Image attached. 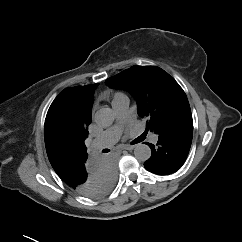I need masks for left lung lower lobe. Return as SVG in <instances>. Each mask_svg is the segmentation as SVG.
<instances>
[{
	"mask_svg": "<svg viewBox=\"0 0 242 242\" xmlns=\"http://www.w3.org/2000/svg\"><path fill=\"white\" fill-rule=\"evenodd\" d=\"M157 134V146L148 143L152 155L144 166L152 173L168 175L177 171L187 158L193 135L192 116L167 126Z\"/></svg>",
	"mask_w": 242,
	"mask_h": 242,
	"instance_id": "0a47b994",
	"label": "left lung lower lobe"
}]
</instances>
